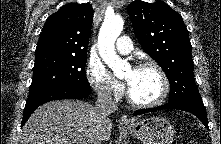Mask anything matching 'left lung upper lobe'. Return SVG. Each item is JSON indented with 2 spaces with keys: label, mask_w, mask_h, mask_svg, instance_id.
I'll use <instances>...</instances> for the list:
<instances>
[{
  "label": "left lung upper lobe",
  "mask_w": 221,
  "mask_h": 144,
  "mask_svg": "<svg viewBox=\"0 0 221 144\" xmlns=\"http://www.w3.org/2000/svg\"><path fill=\"white\" fill-rule=\"evenodd\" d=\"M127 11L142 48L169 79V102L203 104L194 80L188 30L181 15L163 1L136 0L127 6Z\"/></svg>",
  "instance_id": "1"
}]
</instances>
